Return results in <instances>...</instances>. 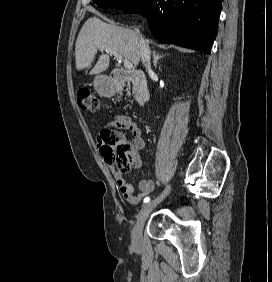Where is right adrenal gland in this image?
I'll return each mask as SVG.
<instances>
[{"instance_id":"1","label":"right adrenal gland","mask_w":272,"mask_h":282,"mask_svg":"<svg viewBox=\"0 0 272 282\" xmlns=\"http://www.w3.org/2000/svg\"><path fill=\"white\" fill-rule=\"evenodd\" d=\"M152 56H153V64H154V67L156 68L157 67V63H158V60L163 58L164 55H161L159 53H156L155 50L152 51Z\"/></svg>"}]
</instances>
